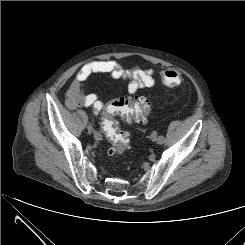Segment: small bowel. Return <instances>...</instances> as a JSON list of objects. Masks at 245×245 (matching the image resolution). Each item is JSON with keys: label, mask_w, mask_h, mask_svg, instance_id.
<instances>
[{"label": "small bowel", "mask_w": 245, "mask_h": 245, "mask_svg": "<svg viewBox=\"0 0 245 245\" xmlns=\"http://www.w3.org/2000/svg\"><path fill=\"white\" fill-rule=\"evenodd\" d=\"M94 74H104L113 79L127 81L126 91L131 95L156 85L153 69H124L114 60L90 62L77 72L67 91L66 105L69 109L91 107L93 112L98 114L106 107V103L100 100L95 93H88L85 90L86 81Z\"/></svg>", "instance_id": "obj_1"}]
</instances>
